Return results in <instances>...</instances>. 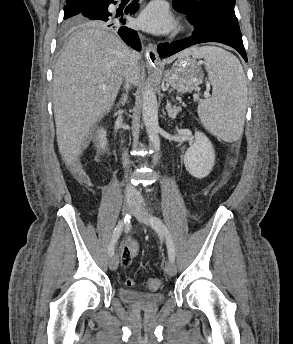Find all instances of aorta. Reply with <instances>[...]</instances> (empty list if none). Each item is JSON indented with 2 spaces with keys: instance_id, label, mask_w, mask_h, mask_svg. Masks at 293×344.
<instances>
[{
  "instance_id": "obj_1",
  "label": "aorta",
  "mask_w": 293,
  "mask_h": 344,
  "mask_svg": "<svg viewBox=\"0 0 293 344\" xmlns=\"http://www.w3.org/2000/svg\"><path fill=\"white\" fill-rule=\"evenodd\" d=\"M142 99V117L149 141L155 151L152 161L156 164L160 158V127L158 122V102L154 89L146 86L142 93Z\"/></svg>"
}]
</instances>
